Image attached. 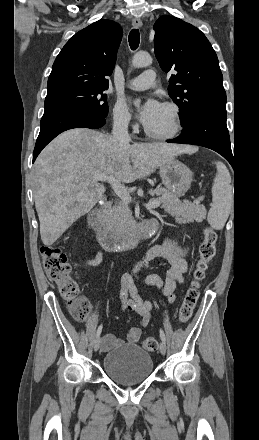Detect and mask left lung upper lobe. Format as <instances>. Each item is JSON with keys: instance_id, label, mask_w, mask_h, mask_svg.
<instances>
[{"instance_id": "left-lung-upper-lobe-1", "label": "left lung upper lobe", "mask_w": 259, "mask_h": 440, "mask_svg": "<svg viewBox=\"0 0 259 440\" xmlns=\"http://www.w3.org/2000/svg\"><path fill=\"white\" fill-rule=\"evenodd\" d=\"M155 55L161 69L174 72L168 93L180 108L184 126L197 112L226 111V93L217 55L205 35L193 25L170 16L154 25Z\"/></svg>"}]
</instances>
